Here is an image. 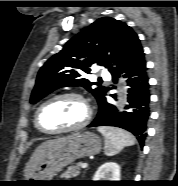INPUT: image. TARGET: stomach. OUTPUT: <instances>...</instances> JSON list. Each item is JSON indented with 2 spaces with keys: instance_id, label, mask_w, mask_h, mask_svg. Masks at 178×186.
Wrapping results in <instances>:
<instances>
[{
  "instance_id": "stomach-1",
  "label": "stomach",
  "mask_w": 178,
  "mask_h": 186,
  "mask_svg": "<svg viewBox=\"0 0 178 186\" xmlns=\"http://www.w3.org/2000/svg\"><path fill=\"white\" fill-rule=\"evenodd\" d=\"M102 148L100 137L93 132L79 133L66 145L51 153L24 181L27 185L45 186L65 166L76 159L98 154Z\"/></svg>"
}]
</instances>
